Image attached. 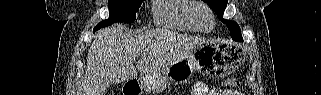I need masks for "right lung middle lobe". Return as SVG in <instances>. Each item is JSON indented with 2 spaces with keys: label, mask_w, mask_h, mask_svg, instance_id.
Wrapping results in <instances>:
<instances>
[{
  "label": "right lung middle lobe",
  "mask_w": 321,
  "mask_h": 95,
  "mask_svg": "<svg viewBox=\"0 0 321 95\" xmlns=\"http://www.w3.org/2000/svg\"><path fill=\"white\" fill-rule=\"evenodd\" d=\"M142 0H109V18L98 23L94 31L109 26L114 22L132 23L136 19V12L142 4Z\"/></svg>",
  "instance_id": "1"
}]
</instances>
